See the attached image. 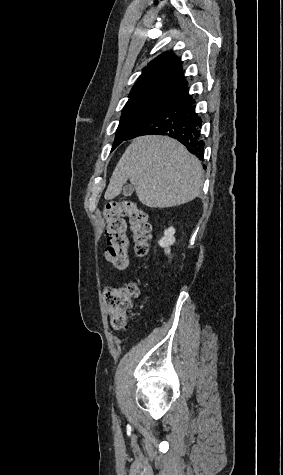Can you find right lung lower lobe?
<instances>
[{"label": "right lung lower lobe", "instance_id": "1", "mask_svg": "<svg viewBox=\"0 0 283 475\" xmlns=\"http://www.w3.org/2000/svg\"><path fill=\"white\" fill-rule=\"evenodd\" d=\"M195 103L188 93L187 84L182 86L146 116L125 140L141 135H166L184 144L202 160L205 144L201 140L202 120L195 111Z\"/></svg>", "mask_w": 283, "mask_h": 475}]
</instances>
